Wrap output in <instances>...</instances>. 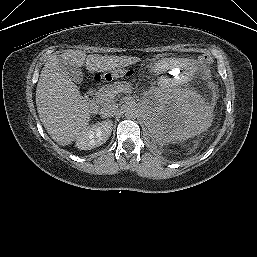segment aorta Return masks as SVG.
Here are the masks:
<instances>
[{
  "mask_svg": "<svg viewBox=\"0 0 257 257\" xmlns=\"http://www.w3.org/2000/svg\"><path fill=\"white\" fill-rule=\"evenodd\" d=\"M127 119H136L138 116V109L133 106H127L124 110Z\"/></svg>",
  "mask_w": 257,
  "mask_h": 257,
  "instance_id": "762f6f07",
  "label": "aorta"
}]
</instances>
